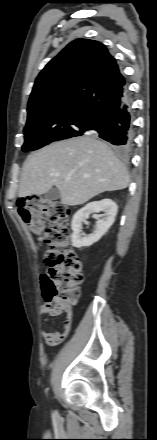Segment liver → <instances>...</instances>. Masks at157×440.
<instances>
[{"label": "liver", "instance_id": "6515ba94", "mask_svg": "<svg viewBox=\"0 0 157 440\" xmlns=\"http://www.w3.org/2000/svg\"><path fill=\"white\" fill-rule=\"evenodd\" d=\"M128 184L126 167L107 144L83 136L51 143L30 154L23 165L18 195H41L56 186L61 202L75 206Z\"/></svg>", "mask_w": 157, "mask_h": 440}]
</instances>
